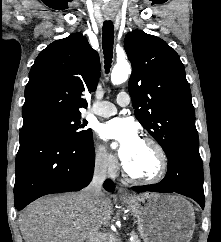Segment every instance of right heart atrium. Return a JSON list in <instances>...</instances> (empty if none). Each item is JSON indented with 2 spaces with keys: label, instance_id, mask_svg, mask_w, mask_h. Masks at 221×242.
<instances>
[{
  "label": "right heart atrium",
  "instance_id": "1",
  "mask_svg": "<svg viewBox=\"0 0 221 242\" xmlns=\"http://www.w3.org/2000/svg\"><path fill=\"white\" fill-rule=\"evenodd\" d=\"M93 161L98 171L108 174L115 173L119 166L117 158L100 145L95 146L93 150Z\"/></svg>",
  "mask_w": 221,
  "mask_h": 242
}]
</instances>
